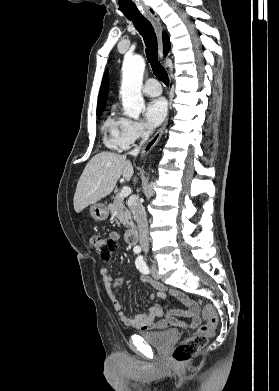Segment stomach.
<instances>
[{
  "label": "stomach",
  "mask_w": 279,
  "mask_h": 391,
  "mask_svg": "<svg viewBox=\"0 0 279 391\" xmlns=\"http://www.w3.org/2000/svg\"><path fill=\"white\" fill-rule=\"evenodd\" d=\"M90 214L95 221H104L107 219L109 212L104 204L97 203L90 207Z\"/></svg>",
  "instance_id": "stomach-1"
}]
</instances>
